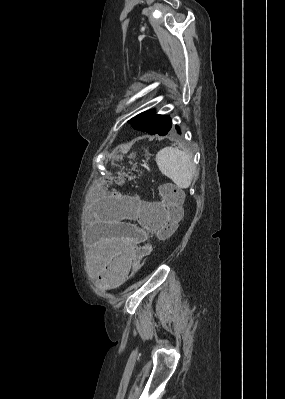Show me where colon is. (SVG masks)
Listing matches in <instances>:
<instances>
[{"label":"colon","mask_w":285,"mask_h":399,"mask_svg":"<svg viewBox=\"0 0 285 399\" xmlns=\"http://www.w3.org/2000/svg\"><path fill=\"white\" fill-rule=\"evenodd\" d=\"M159 190L162 196L161 208L167 215V221L158 231V238L166 239L174 232L181 217V193L178 188L172 186H160ZM151 251L150 243H144L135 248L133 264L136 270L141 268L143 259Z\"/></svg>","instance_id":"obj_1"}]
</instances>
